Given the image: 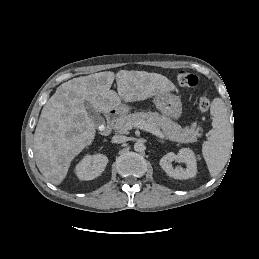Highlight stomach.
Instances as JSON below:
<instances>
[{"label":"stomach","mask_w":259,"mask_h":259,"mask_svg":"<svg viewBox=\"0 0 259 259\" xmlns=\"http://www.w3.org/2000/svg\"><path fill=\"white\" fill-rule=\"evenodd\" d=\"M154 104L157 109L164 115L174 120H178L182 113V104L178 96L169 92L156 95ZM119 113L125 114L130 110L126 104H120L117 109Z\"/></svg>","instance_id":"stomach-1"}]
</instances>
